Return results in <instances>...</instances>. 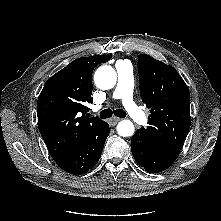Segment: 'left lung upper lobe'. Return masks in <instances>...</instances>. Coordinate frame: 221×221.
<instances>
[{"mask_svg":"<svg viewBox=\"0 0 221 221\" xmlns=\"http://www.w3.org/2000/svg\"><path fill=\"white\" fill-rule=\"evenodd\" d=\"M142 101L151 109L149 126L137 130L159 148L179 153L190 127V94L171 66L149 55L138 56Z\"/></svg>","mask_w":221,"mask_h":221,"instance_id":"5c2ea615","label":"left lung upper lobe"}]
</instances>
